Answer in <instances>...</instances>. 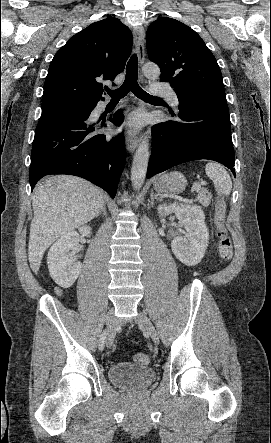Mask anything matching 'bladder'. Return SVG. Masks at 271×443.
<instances>
[{
  "mask_svg": "<svg viewBox=\"0 0 271 443\" xmlns=\"http://www.w3.org/2000/svg\"><path fill=\"white\" fill-rule=\"evenodd\" d=\"M108 377L112 384L120 388L139 390L153 383L156 373L148 366L118 362L110 366Z\"/></svg>",
  "mask_w": 271,
  "mask_h": 443,
  "instance_id": "1",
  "label": "bladder"
}]
</instances>
